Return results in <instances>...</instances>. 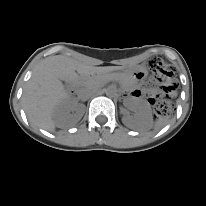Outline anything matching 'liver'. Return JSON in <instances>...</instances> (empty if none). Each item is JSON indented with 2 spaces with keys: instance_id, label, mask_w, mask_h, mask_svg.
Masks as SVG:
<instances>
[{
  "instance_id": "6515ba94",
  "label": "liver",
  "mask_w": 206,
  "mask_h": 206,
  "mask_svg": "<svg viewBox=\"0 0 206 206\" xmlns=\"http://www.w3.org/2000/svg\"><path fill=\"white\" fill-rule=\"evenodd\" d=\"M92 69V66L81 60L64 55H55L41 61L24 90L28 118L42 126L68 127L76 124L83 115L79 108H70L72 114H58L61 109L68 110L62 102L65 94L62 81L75 74V71L93 74ZM62 75L65 77L61 78Z\"/></svg>"
}]
</instances>
